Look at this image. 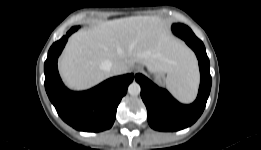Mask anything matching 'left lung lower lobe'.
I'll return each mask as SVG.
<instances>
[{"label": "left lung lower lobe", "instance_id": "1", "mask_svg": "<svg viewBox=\"0 0 261 150\" xmlns=\"http://www.w3.org/2000/svg\"><path fill=\"white\" fill-rule=\"evenodd\" d=\"M173 33L183 39L196 53L201 82L197 99L190 105L176 101L167 90L159 88L142 74L135 75L141 86V97L147 108L149 125L158 131H177L191 126L202 114L211 89L210 63L205 46L183 24H173Z\"/></svg>", "mask_w": 261, "mask_h": 150}]
</instances>
